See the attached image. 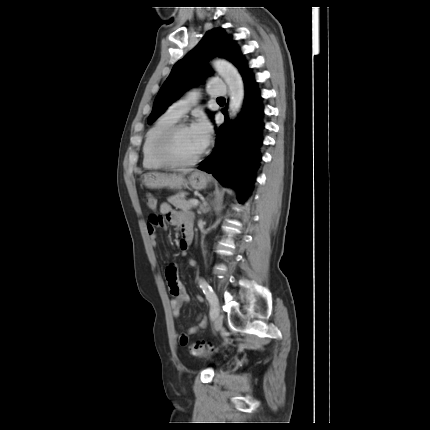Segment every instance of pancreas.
Returning a JSON list of instances; mask_svg holds the SVG:
<instances>
[{
  "mask_svg": "<svg viewBox=\"0 0 430 430\" xmlns=\"http://www.w3.org/2000/svg\"><path fill=\"white\" fill-rule=\"evenodd\" d=\"M186 194H187L186 192L177 193L173 196H170L167 199V201L171 203L173 206H175L176 208H180L184 210L191 209L192 207H194V205L190 201H187L185 199Z\"/></svg>",
  "mask_w": 430,
  "mask_h": 430,
  "instance_id": "obj_1",
  "label": "pancreas"
}]
</instances>
